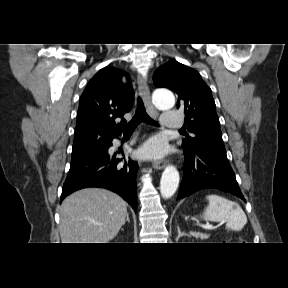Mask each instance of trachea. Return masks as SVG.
Segmentation results:
<instances>
[{
    "label": "trachea",
    "mask_w": 288,
    "mask_h": 288,
    "mask_svg": "<svg viewBox=\"0 0 288 288\" xmlns=\"http://www.w3.org/2000/svg\"><path fill=\"white\" fill-rule=\"evenodd\" d=\"M141 122H145L153 126H159L158 122L148 116L142 100L138 98L137 109L134 117L129 123L121 125V129L123 132L133 131Z\"/></svg>",
    "instance_id": "obj_1"
}]
</instances>
